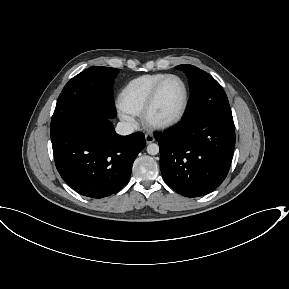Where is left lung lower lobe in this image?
<instances>
[{
  "label": "left lung lower lobe",
  "instance_id": "obj_1",
  "mask_svg": "<svg viewBox=\"0 0 289 289\" xmlns=\"http://www.w3.org/2000/svg\"><path fill=\"white\" fill-rule=\"evenodd\" d=\"M155 138L163 179L179 194H208L226 178L235 148L231 118L199 115Z\"/></svg>",
  "mask_w": 289,
  "mask_h": 289
}]
</instances>
